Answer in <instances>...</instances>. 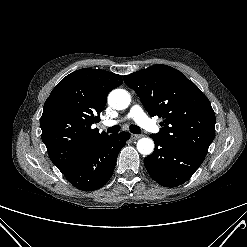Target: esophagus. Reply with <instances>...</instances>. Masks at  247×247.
<instances>
[{
    "label": "esophagus",
    "mask_w": 247,
    "mask_h": 247,
    "mask_svg": "<svg viewBox=\"0 0 247 247\" xmlns=\"http://www.w3.org/2000/svg\"><path fill=\"white\" fill-rule=\"evenodd\" d=\"M142 136L143 135H141V134H131V139L136 140V139L141 138Z\"/></svg>",
    "instance_id": "34e87169"
}]
</instances>
